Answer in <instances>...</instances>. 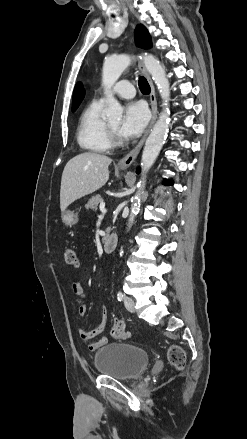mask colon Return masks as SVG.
Wrapping results in <instances>:
<instances>
[{"mask_svg":"<svg viewBox=\"0 0 247 439\" xmlns=\"http://www.w3.org/2000/svg\"><path fill=\"white\" fill-rule=\"evenodd\" d=\"M65 262L70 266H76L78 264L77 254L73 249H67L65 251ZM111 334L115 339H127L131 336L130 332L127 331L125 323L121 320H116ZM185 352L184 350L177 345H173L170 347L168 351V360L169 362L176 368L181 369L185 364Z\"/></svg>","mask_w":247,"mask_h":439,"instance_id":"obj_1","label":"colon"}]
</instances>
